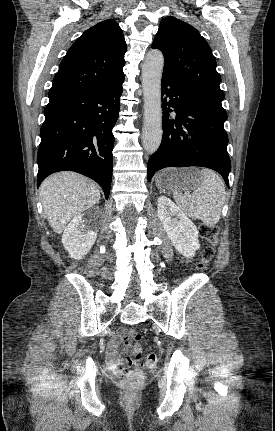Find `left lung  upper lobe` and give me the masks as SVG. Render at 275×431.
I'll return each instance as SVG.
<instances>
[{
    "instance_id": "1",
    "label": "left lung upper lobe",
    "mask_w": 275,
    "mask_h": 431,
    "mask_svg": "<svg viewBox=\"0 0 275 431\" xmlns=\"http://www.w3.org/2000/svg\"><path fill=\"white\" fill-rule=\"evenodd\" d=\"M164 55L163 74H167L209 108L226 113L221 77L211 48L199 32L175 17L163 18L152 43Z\"/></svg>"
}]
</instances>
